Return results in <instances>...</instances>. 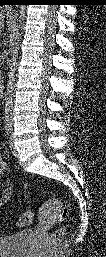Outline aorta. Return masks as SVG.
I'll return each mask as SVG.
<instances>
[{
    "label": "aorta",
    "instance_id": "obj_1",
    "mask_svg": "<svg viewBox=\"0 0 106 257\" xmlns=\"http://www.w3.org/2000/svg\"><path fill=\"white\" fill-rule=\"evenodd\" d=\"M24 18H25V7L21 6L19 8V23L20 24ZM18 38H19V34L14 33L13 39H18ZM17 58H18V47H13L11 50V67H10V71L8 73L7 95L5 98V115H6L7 124L11 123V121L9 119V114L11 112V108H12V104H13L12 92L14 89Z\"/></svg>",
    "mask_w": 106,
    "mask_h": 257
}]
</instances>
